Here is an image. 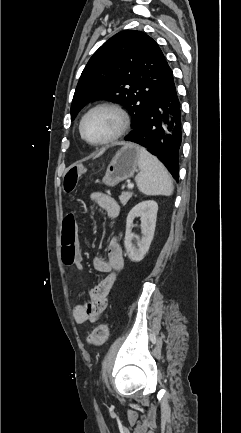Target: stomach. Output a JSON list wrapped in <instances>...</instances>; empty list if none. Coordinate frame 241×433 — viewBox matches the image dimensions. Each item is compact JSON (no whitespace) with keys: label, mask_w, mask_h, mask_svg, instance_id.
Instances as JSON below:
<instances>
[{"label":"stomach","mask_w":241,"mask_h":433,"mask_svg":"<svg viewBox=\"0 0 241 433\" xmlns=\"http://www.w3.org/2000/svg\"><path fill=\"white\" fill-rule=\"evenodd\" d=\"M139 150L140 147L135 144H127L118 150L107 167L102 183L113 187L132 177L139 164Z\"/></svg>","instance_id":"0dacf381"}]
</instances>
